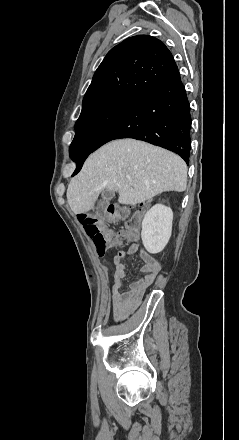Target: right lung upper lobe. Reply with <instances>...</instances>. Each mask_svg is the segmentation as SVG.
I'll list each match as a JSON object with an SVG mask.
<instances>
[{
    "label": "right lung upper lobe",
    "instance_id": "cb5924a9",
    "mask_svg": "<svg viewBox=\"0 0 239 440\" xmlns=\"http://www.w3.org/2000/svg\"><path fill=\"white\" fill-rule=\"evenodd\" d=\"M175 66L171 52L160 40L149 35L130 37L112 48L96 70L82 110L116 96L137 97Z\"/></svg>",
    "mask_w": 239,
    "mask_h": 440
}]
</instances>
